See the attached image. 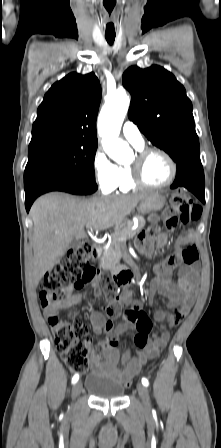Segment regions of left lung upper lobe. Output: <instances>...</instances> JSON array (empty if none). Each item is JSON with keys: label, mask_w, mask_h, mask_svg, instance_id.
<instances>
[{"label": "left lung upper lobe", "mask_w": 221, "mask_h": 448, "mask_svg": "<svg viewBox=\"0 0 221 448\" xmlns=\"http://www.w3.org/2000/svg\"><path fill=\"white\" fill-rule=\"evenodd\" d=\"M123 85L132 96L129 119L171 156L177 169L201 163L192 103L174 75L157 65L132 66L123 74Z\"/></svg>", "instance_id": "left-lung-upper-lobe-1"}]
</instances>
